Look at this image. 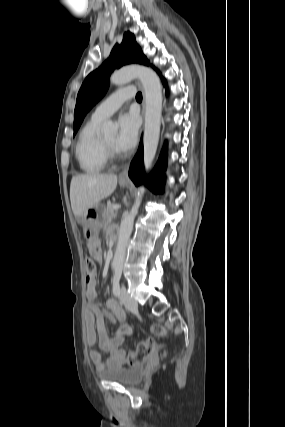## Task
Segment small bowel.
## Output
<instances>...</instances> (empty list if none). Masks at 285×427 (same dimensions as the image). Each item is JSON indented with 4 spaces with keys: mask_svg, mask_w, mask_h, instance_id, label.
<instances>
[{
    "mask_svg": "<svg viewBox=\"0 0 285 427\" xmlns=\"http://www.w3.org/2000/svg\"><path fill=\"white\" fill-rule=\"evenodd\" d=\"M98 240L90 242L89 253L97 261L101 262L102 257L97 251ZM86 296L89 300L96 298V281L91 280L87 283ZM106 307L109 311L102 309L101 303L92 302L87 306L86 312V339L91 346L98 345L100 351L108 353L107 359H103L101 352L93 350L90 352V358L97 370L102 371L105 368L120 367L124 363L125 352L119 348L125 338L133 334V328L125 323L124 310L113 299L106 301ZM118 322V329L109 334L104 326V320Z\"/></svg>",
    "mask_w": 285,
    "mask_h": 427,
    "instance_id": "c3829d8e",
    "label": "small bowel"
}]
</instances>
